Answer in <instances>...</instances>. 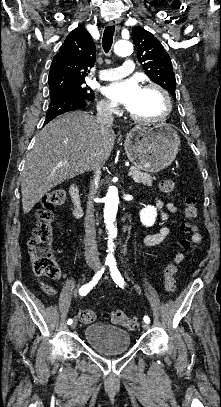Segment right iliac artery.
<instances>
[{
  "label": "right iliac artery",
  "mask_w": 221,
  "mask_h": 407,
  "mask_svg": "<svg viewBox=\"0 0 221 407\" xmlns=\"http://www.w3.org/2000/svg\"><path fill=\"white\" fill-rule=\"evenodd\" d=\"M105 271V267H102L99 271H97V273L94 275L92 281H90L88 284L83 285L80 290L79 293L82 296L87 295V293L93 288V286H95L98 282V280L101 278L102 274ZM72 319H68L67 324L71 325L72 324Z\"/></svg>",
  "instance_id": "obj_1"
}]
</instances>
